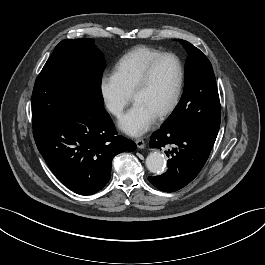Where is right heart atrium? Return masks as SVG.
Listing matches in <instances>:
<instances>
[{
    "label": "right heart atrium",
    "instance_id": "right-heart-atrium-1",
    "mask_svg": "<svg viewBox=\"0 0 265 265\" xmlns=\"http://www.w3.org/2000/svg\"><path fill=\"white\" fill-rule=\"evenodd\" d=\"M99 92L107 111L119 117L130 101V96L123 91L113 75L105 74L99 84Z\"/></svg>",
    "mask_w": 265,
    "mask_h": 265
}]
</instances>
